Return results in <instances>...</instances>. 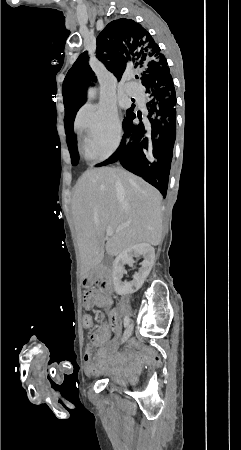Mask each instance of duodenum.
<instances>
[{"label":"duodenum","instance_id":"410a0bca","mask_svg":"<svg viewBox=\"0 0 241 450\" xmlns=\"http://www.w3.org/2000/svg\"><path fill=\"white\" fill-rule=\"evenodd\" d=\"M86 284H101L108 286L111 281V272L109 270H94L86 276Z\"/></svg>","mask_w":241,"mask_h":450}]
</instances>
